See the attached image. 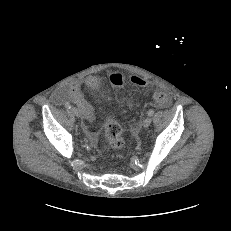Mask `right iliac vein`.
I'll return each mask as SVG.
<instances>
[{
	"label": "right iliac vein",
	"instance_id": "obj_1",
	"mask_svg": "<svg viewBox=\"0 0 231 231\" xmlns=\"http://www.w3.org/2000/svg\"><path fill=\"white\" fill-rule=\"evenodd\" d=\"M71 112H72L76 117H80V116H81L80 111H79L76 107H72V108H71Z\"/></svg>",
	"mask_w": 231,
	"mask_h": 231
}]
</instances>
